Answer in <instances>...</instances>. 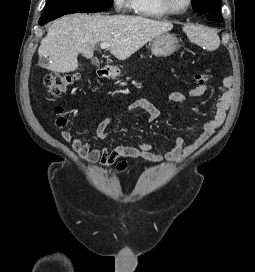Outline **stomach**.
Listing matches in <instances>:
<instances>
[{"label":"stomach","mask_w":255,"mask_h":272,"mask_svg":"<svg viewBox=\"0 0 255 272\" xmlns=\"http://www.w3.org/2000/svg\"><path fill=\"white\" fill-rule=\"evenodd\" d=\"M178 48L177 38L170 33H163L156 36L151 42V52L157 57H168ZM113 75H118V68L112 69Z\"/></svg>","instance_id":"0dacf381"}]
</instances>
